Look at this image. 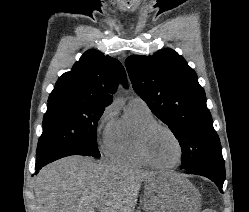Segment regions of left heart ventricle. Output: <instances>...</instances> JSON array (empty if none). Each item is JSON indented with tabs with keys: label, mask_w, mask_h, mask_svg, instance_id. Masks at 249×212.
Returning <instances> with one entry per match:
<instances>
[{
	"label": "left heart ventricle",
	"mask_w": 249,
	"mask_h": 212,
	"mask_svg": "<svg viewBox=\"0 0 249 212\" xmlns=\"http://www.w3.org/2000/svg\"><path fill=\"white\" fill-rule=\"evenodd\" d=\"M149 150L154 160L163 165L175 164L179 159V147L176 141L161 130L151 136Z\"/></svg>",
	"instance_id": "b2bd125f"
}]
</instances>
